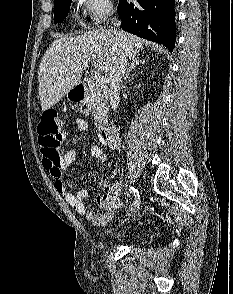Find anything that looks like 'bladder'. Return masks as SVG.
Here are the masks:
<instances>
[{
    "label": "bladder",
    "instance_id": "1",
    "mask_svg": "<svg viewBox=\"0 0 233 294\" xmlns=\"http://www.w3.org/2000/svg\"><path fill=\"white\" fill-rule=\"evenodd\" d=\"M132 231L127 228H121L109 234V239L114 242H124L131 238Z\"/></svg>",
    "mask_w": 233,
    "mask_h": 294
}]
</instances>
